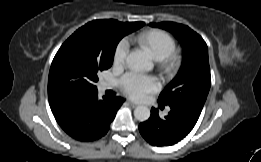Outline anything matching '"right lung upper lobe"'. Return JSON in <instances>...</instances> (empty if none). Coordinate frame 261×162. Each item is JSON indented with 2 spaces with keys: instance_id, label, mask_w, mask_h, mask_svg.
Here are the masks:
<instances>
[{
  "instance_id": "right-lung-upper-lobe-1",
  "label": "right lung upper lobe",
  "mask_w": 261,
  "mask_h": 162,
  "mask_svg": "<svg viewBox=\"0 0 261 162\" xmlns=\"http://www.w3.org/2000/svg\"><path fill=\"white\" fill-rule=\"evenodd\" d=\"M78 101L79 100H77V101H74V100H65V101H52V100H49V104H50V107H51V110H52L53 114H56L59 111H61L63 108L68 106L69 104H72V103H75V102H78Z\"/></svg>"
}]
</instances>
